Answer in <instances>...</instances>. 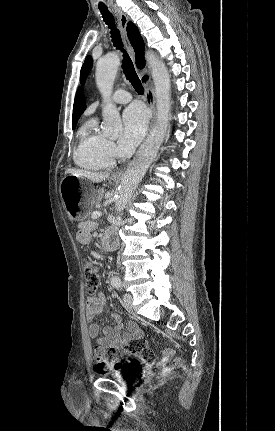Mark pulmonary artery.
I'll return each instance as SVG.
<instances>
[{
	"label": "pulmonary artery",
	"instance_id": "pulmonary-artery-1",
	"mask_svg": "<svg viewBox=\"0 0 275 431\" xmlns=\"http://www.w3.org/2000/svg\"><path fill=\"white\" fill-rule=\"evenodd\" d=\"M131 94L125 89H118L112 96V101L117 104H125L131 100Z\"/></svg>",
	"mask_w": 275,
	"mask_h": 431
}]
</instances>
